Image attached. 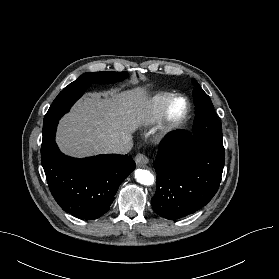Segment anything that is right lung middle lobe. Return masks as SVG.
Instances as JSON below:
<instances>
[{
  "mask_svg": "<svg viewBox=\"0 0 279 279\" xmlns=\"http://www.w3.org/2000/svg\"><path fill=\"white\" fill-rule=\"evenodd\" d=\"M127 76L126 72H87L65 87L55 98L44 117L41 155H44L55 143V131L61 116L69 111L91 83L109 84L124 80Z\"/></svg>",
  "mask_w": 279,
  "mask_h": 279,
  "instance_id": "right-lung-middle-lobe-1",
  "label": "right lung middle lobe"
}]
</instances>
